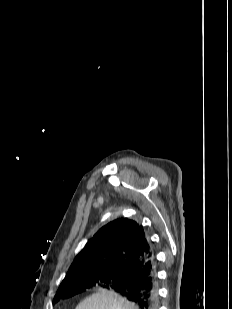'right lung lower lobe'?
Masks as SVG:
<instances>
[{
    "label": "right lung lower lobe",
    "instance_id": "right-lung-lower-lobe-1",
    "mask_svg": "<svg viewBox=\"0 0 232 309\" xmlns=\"http://www.w3.org/2000/svg\"><path fill=\"white\" fill-rule=\"evenodd\" d=\"M156 260L154 255L140 268L123 273L127 281L111 286L115 292L136 303L140 309H158Z\"/></svg>",
    "mask_w": 232,
    "mask_h": 309
}]
</instances>
